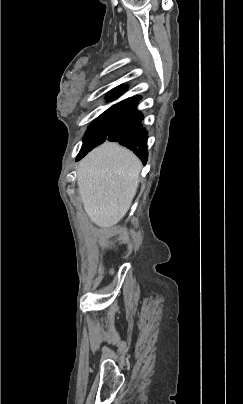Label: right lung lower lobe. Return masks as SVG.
<instances>
[{"label": "right lung lower lobe", "instance_id": "1", "mask_svg": "<svg viewBox=\"0 0 243 404\" xmlns=\"http://www.w3.org/2000/svg\"><path fill=\"white\" fill-rule=\"evenodd\" d=\"M138 101L128 105L123 114L116 120L106 141H115L132 150L146 164L147 131L141 122L142 113L136 109Z\"/></svg>", "mask_w": 243, "mask_h": 404}]
</instances>
